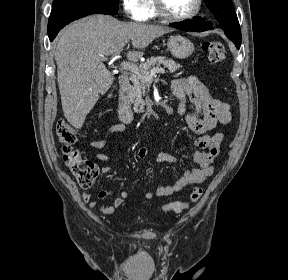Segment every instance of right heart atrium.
Returning a JSON list of instances; mask_svg holds the SVG:
<instances>
[{"label": "right heart atrium", "instance_id": "d8ad5b80", "mask_svg": "<svg viewBox=\"0 0 288 280\" xmlns=\"http://www.w3.org/2000/svg\"><path fill=\"white\" fill-rule=\"evenodd\" d=\"M150 0H121V5L127 17L135 21L145 19Z\"/></svg>", "mask_w": 288, "mask_h": 280}]
</instances>
